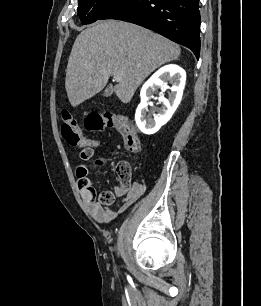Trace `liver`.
<instances>
[{
    "label": "liver",
    "mask_w": 261,
    "mask_h": 306,
    "mask_svg": "<svg viewBox=\"0 0 261 306\" xmlns=\"http://www.w3.org/2000/svg\"><path fill=\"white\" fill-rule=\"evenodd\" d=\"M180 47L141 26L116 20L81 31L72 47L65 88L76 107L99 93L111 75H120L117 97L129 103L140 84L161 65L176 60Z\"/></svg>",
    "instance_id": "obj_1"
}]
</instances>
